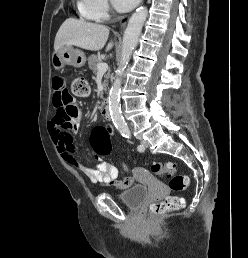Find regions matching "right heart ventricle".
<instances>
[{
  "label": "right heart ventricle",
  "instance_id": "1",
  "mask_svg": "<svg viewBox=\"0 0 248 258\" xmlns=\"http://www.w3.org/2000/svg\"><path fill=\"white\" fill-rule=\"evenodd\" d=\"M77 9L80 15L87 20H95L94 15L89 11L86 0H77Z\"/></svg>",
  "mask_w": 248,
  "mask_h": 258
}]
</instances>
